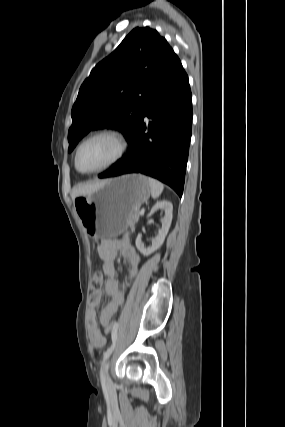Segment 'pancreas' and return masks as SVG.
I'll return each mask as SVG.
<instances>
[{
    "label": "pancreas",
    "instance_id": "cf45deb5",
    "mask_svg": "<svg viewBox=\"0 0 285 427\" xmlns=\"http://www.w3.org/2000/svg\"><path fill=\"white\" fill-rule=\"evenodd\" d=\"M138 218H139V215H138V214L134 215V216L132 217V220H131V223H130V225H129V226L133 227V226H134V224L138 221Z\"/></svg>",
    "mask_w": 285,
    "mask_h": 427
}]
</instances>
